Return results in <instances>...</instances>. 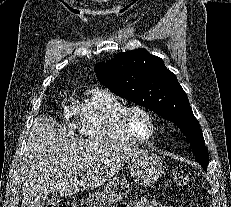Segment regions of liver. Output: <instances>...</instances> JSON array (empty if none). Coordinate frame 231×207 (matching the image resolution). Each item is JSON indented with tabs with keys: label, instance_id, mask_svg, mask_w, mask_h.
Segmentation results:
<instances>
[{
	"label": "liver",
	"instance_id": "1",
	"mask_svg": "<svg viewBox=\"0 0 231 207\" xmlns=\"http://www.w3.org/2000/svg\"><path fill=\"white\" fill-rule=\"evenodd\" d=\"M139 151L127 144L76 138L53 118L39 116L20 168L22 207H44L52 193L69 196L100 187Z\"/></svg>",
	"mask_w": 231,
	"mask_h": 207
}]
</instances>
